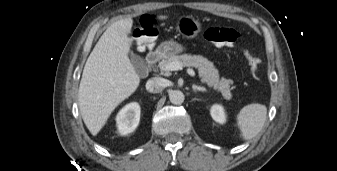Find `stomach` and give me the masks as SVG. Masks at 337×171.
Here are the masks:
<instances>
[{"mask_svg": "<svg viewBox=\"0 0 337 171\" xmlns=\"http://www.w3.org/2000/svg\"><path fill=\"white\" fill-rule=\"evenodd\" d=\"M176 28L184 37L194 38L201 31V23L192 16H182ZM158 50L165 56H172L181 53L184 47L175 41H166L160 44Z\"/></svg>", "mask_w": 337, "mask_h": 171, "instance_id": "stomach-1", "label": "stomach"}]
</instances>
